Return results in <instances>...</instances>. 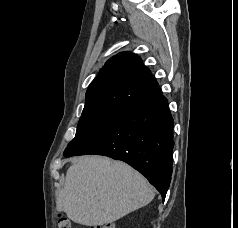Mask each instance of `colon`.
<instances>
[{"label": "colon", "mask_w": 238, "mask_h": 228, "mask_svg": "<svg viewBox=\"0 0 238 228\" xmlns=\"http://www.w3.org/2000/svg\"><path fill=\"white\" fill-rule=\"evenodd\" d=\"M58 228H71V223L67 218L61 216L58 220ZM91 228H115V226L112 223H107L102 226H95Z\"/></svg>", "instance_id": "5ec220e1"}]
</instances>
